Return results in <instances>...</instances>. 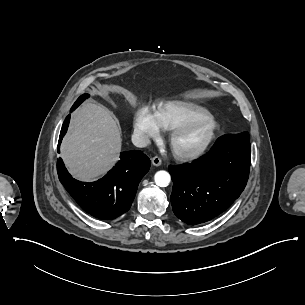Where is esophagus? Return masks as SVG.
I'll return each mask as SVG.
<instances>
[{
    "instance_id": "obj_1",
    "label": "esophagus",
    "mask_w": 305,
    "mask_h": 305,
    "mask_svg": "<svg viewBox=\"0 0 305 305\" xmlns=\"http://www.w3.org/2000/svg\"><path fill=\"white\" fill-rule=\"evenodd\" d=\"M152 163L154 166H160L162 164V160L159 156H155L152 158Z\"/></svg>"
}]
</instances>
